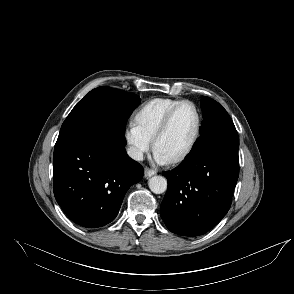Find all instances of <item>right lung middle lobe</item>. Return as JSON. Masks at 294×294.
Masks as SVG:
<instances>
[{
    "mask_svg": "<svg viewBox=\"0 0 294 294\" xmlns=\"http://www.w3.org/2000/svg\"><path fill=\"white\" fill-rule=\"evenodd\" d=\"M139 102V96L119 89H93L67 116L57 142L106 132L124 134L126 119Z\"/></svg>",
    "mask_w": 294,
    "mask_h": 294,
    "instance_id": "dd1d6c3e",
    "label": "right lung middle lobe"
}]
</instances>
